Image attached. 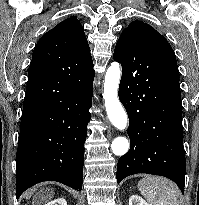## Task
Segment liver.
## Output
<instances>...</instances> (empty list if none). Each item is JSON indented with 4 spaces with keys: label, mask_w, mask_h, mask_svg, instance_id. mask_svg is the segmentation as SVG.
Listing matches in <instances>:
<instances>
[{
    "label": "liver",
    "mask_w": 199,
    "mask_h": 205,
    "mask_svg": "<svg viewBox=\"0 0 199 205\" xmlns=\"http://www.w3.org/2000/svg\"><path fill=\"white\" fill-rule=\"evenodd\" d=\"M40 193H41V192H40ZM52 196H53V193L51 192L50 195H49L48 197H45L44 200H49V199L52 198ZM38 198H39V194H38V197L35 198V201H34L35 204H38V203H39V202H38Z\"/></svg>",
    "instance_id": "1"
}]
</instances>
